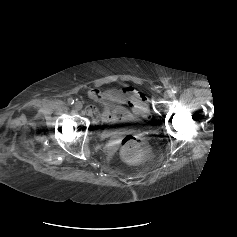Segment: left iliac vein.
Wrapping results in <instances>:
<instances>
[{
	"label": "left iliac vein",
	"instance_id": "obj_1",
	"mask_svg": "<svg viewBox=\"0 0 237 237\" xmlns=\"http://www.w3.org/2000/svg\"><path fill=\"white\" fill-rule=\"evenodd\" d=\"M164 95H165V97L170 98L173 96V93L171 90H167Z\"/></svg>",
	"mask_w": 237,
	"mask_h": 237
}]
</instances>
